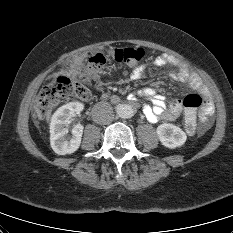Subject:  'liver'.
I'll use <instances>...</instances> for the list:
<instances>
[{"instance_id": "obj_1", "label": "liver", "mask_w": 233, "mask_h": 233, "mask_svg": "<svg viewBox=\"0 0 233 233\" xmlns=\"http://www.w3.org/2000/svg\"><path fill=\"white\" fill-rule=\"evenodd\" d=\"M50 115H51V110H49V111L47 112V117H46L47 121H49Z\"/></svg>"}]
</instances>
